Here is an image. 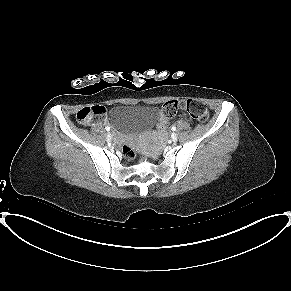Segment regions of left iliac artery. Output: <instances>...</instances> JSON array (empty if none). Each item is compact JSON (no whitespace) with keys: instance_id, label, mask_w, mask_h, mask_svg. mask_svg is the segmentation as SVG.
Masks as SVG:
<instances>
[{"instance_id":"left-iliac-artery-1","label":"left iliac artery","mask_w":291,"mask_h":291,"mask_svg":"<svg viewBox=\"0 0 291 291\" xmlns=\"http://www.w3.org/2000/svg\"><path fill=\"white\" fill-rule=\"evenodd\" d=\"M171 129H172V131H175V130H176V127H175V126H173Z\"/></svg>"}]
</instances>
